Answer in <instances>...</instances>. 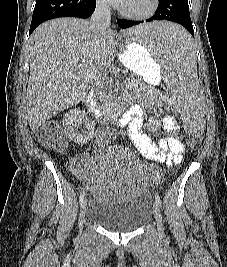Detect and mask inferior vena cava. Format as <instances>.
Segmentation results:
<instances>
[{
    "label": "inferior vena cava",
    "instance_id": "inferior-vena-cava-1",
    "mask_svg": "<svg viewBox=\"0 0 227 267\" xmlns=\"http://www.w3.org/2000/svg\"><path fill=\"white\" fill-rule=\"evenodd\" d=\"M110 5L107 0H97L96 9L90 19V30L93 34L101 36L105 31L110 27L111 23V11ZM95 87L102 89L103 76L98 75L95 81L93 82Z\"/></svg>",
    "mask_w": 227,
    "mask_h": 267
}]
</instances>
